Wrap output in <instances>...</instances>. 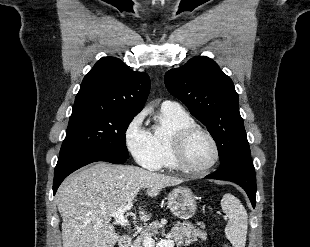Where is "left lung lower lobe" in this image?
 <instances>
[{"label":"left lung lower lobe","instance_id":"1","mask_svg":"<svg viewBox=\"0 0 310 247\" xmlns=\"http://www.w3.org/2000/svg\"><path fill=\"white\" fill-rule=\"evenodd\" d=\"M206 178L227 180L240 185L247 193L253 208L256 204V175L251 157L243 161L225 167H220L217 171Z\"/></svg>","mask_w":310,"mask_h":247}]
</instances>
